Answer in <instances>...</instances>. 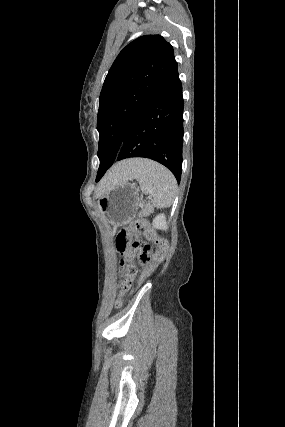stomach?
Here are the masks:
<instances>
[{
  "instance_id": "obj_1",
  "label": "stomach",
  "mask_w": 285,
  "mask_h": 427,
  "mask_svg": "<svg viewBox=\"0 0 285 427\" xmlns=\"http://www.w3.org/2000/svg\"><path fill=\"white\" fill-rule=\"evenodd\" d=\"M138 202V189L133 184L123 182L103 193L98 200V208L110 225L122 226L135 218Z\"/></svg>"
}]
</instances>
